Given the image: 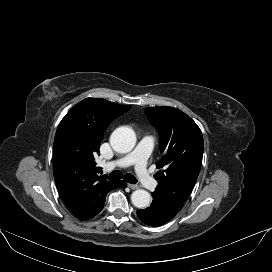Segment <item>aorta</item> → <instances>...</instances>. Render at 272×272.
I'll list each match as a JSON object with an SVG mask.
<instances>
[{
    "label": "aorta",
    "instance_id": "1",
    "mask_svg": "<svg viewBox=\"0 0 272 272\" xmlns=\"http://www.w3.org/2000/svg\"><path fill=\"white\" fill-rule=\"evenodd\" d=\"M110 144L116 152L128 153L136 144V134L130 127H119L111 134ZM131 201L135 207L144 209L149 206L151 196L146 190L138 189L132 193Z\"/></svg>",
    "mask_w": 272,
    "mask_h": 272
}]
</instances>
